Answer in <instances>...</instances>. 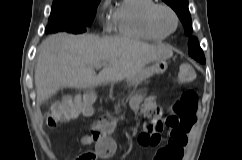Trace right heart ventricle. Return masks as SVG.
<instances>
[{
    "instance_id": "e07e8e85",
    "label": "right heart ventricle",
    "mask_w": 242,
    "mask_h": 160,
    "mask_svg": "<svg viewBox=\"0 0 242 160\" xmlns=\"http://www.w3.org/2000/svg\"><path fill=\"white\" fill-rule=\"evenodd\" d=\"M155 4V0H121L112 11L109 24L119 36L160 42L166 35L152 29L147 21V14Z\"/></svg>"
}]
</instances>
